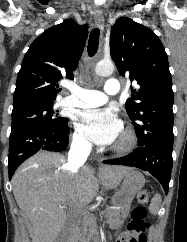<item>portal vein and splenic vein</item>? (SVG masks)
<instances>
[{
    "label": "portal vein and splenic vein",
    "mask_w": 187,
    "mask_h": 242,
    "mask_svg": "<svg viewBox=\"0 0 187 242\" xmlns=\"http://www.w3.org/2000/svg\"><path fill=\"white\" fill-rule=\"evenodd\" d=\"M60 207L65 208V207H66V203H64V202H63V203H60ZM75 209L78 210V211H81L77 206L75 207ZM84 213H85V212H84ZM84 213H83V214H84ZM101 214H103V211L100 213V215H101Z\"/></svg>",
    "instance_id": "portal-vein-and-splenic-vein-1"
}]
</instances>
